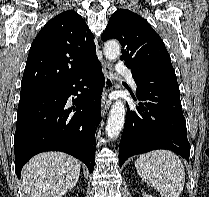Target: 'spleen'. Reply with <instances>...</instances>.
<instances>
[{"mask_svg":"<svg viewBox=\"0 0 209 197\" xmlns=\"http://www.w3.org/2000/svg\"><path fill=\"white\" fill-rule=\"evenodd\" d=\"M139 176L161 197H179L185 185V170L180 158L169 150H154L135 161Z\"/></svg>","mask_w":209,"mask_h":197,"instance_id":"1","label":"spleen"}]
</instances>
